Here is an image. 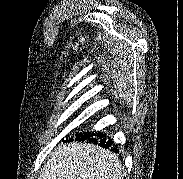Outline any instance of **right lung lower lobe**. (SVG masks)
Listing matches in <instances>:
<instances>
[{
	"mask_svg": "<svg viewBox=\"0 0 183 179\" xmlns=\"http://www.w3.org/2000/svg\"><path fill=\"white\" fill-rule=\"evenodd\" d=\"M104 137H105V134L98 132V133H84L81 136H77L76 139L82 140V141L88 140L89 142H93L104 148L111 147L112 145L111 139L107 140V138H104ZM114 150H116L117 152L116 148H114Z\"/></svg>",
	"mask_w": 183,
	"mask_h": 179,
	"instance_id": "obj_1",
	"label": "right lung lower lobe"
}]
</instances>
